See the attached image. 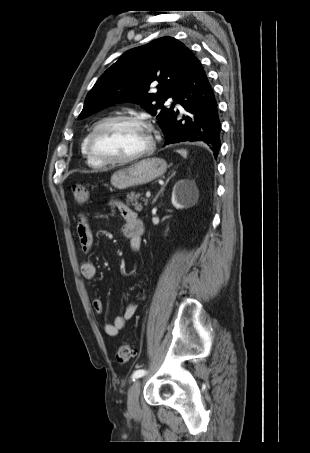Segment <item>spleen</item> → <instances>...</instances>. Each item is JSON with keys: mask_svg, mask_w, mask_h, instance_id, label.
Returning a JSON list of instances; mask_svg holds the SVG:
<instances>
[{"mask_svg": "<svg viewBox=\"0 0 310 453\" xmlns=\"http://www.w3.org/2000/svg\"><path fill=\"white\" fill-rule=\"evenodd\" d=\"M178 153H180L183 157H187V151L186 150H178Z\"/></svg>", "mask_w": 310, "mask_h": 453, "instance_id": "obj_1", "label": "spleen"}]
</instances>
